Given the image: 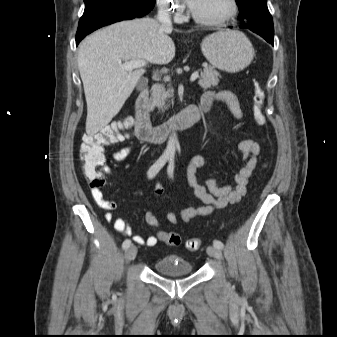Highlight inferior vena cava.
<instances>
[{"label":"inferior vena cava","instance_id":"1","mask_svg":"<svg viewBox=\"0 0 337 337\" xmlns=\"http://www.w3.org/2000/svg\"><path fill=\"white\" fill-rule=\"evenodd\" d=\"M157 20L166 28L172 29V21L168 10L167 3L159 5Z\"/></svg>","mask_w":337,"mask_h":337}]
</instances>
